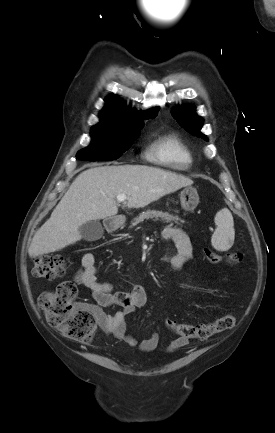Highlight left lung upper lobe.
<instances>
[{
  "label": "left lung upper lobe",
  "mask_w": 275,
  "mask_h": 433,
  "mask_svg": "<svg viewBox=\"0 0 275 433\" xmlns=\"http://www.w3.org/2000/svg\"><path fill=\"white\" fill-rule=\"evenodd\" d=\"M172 115L191 134L208 141L207 137L200 132L203 123L200 117L196 115L193 107H178L173 110Z\"/></svg>",
  "instance_id": "obj_1"
}]
</instances>
